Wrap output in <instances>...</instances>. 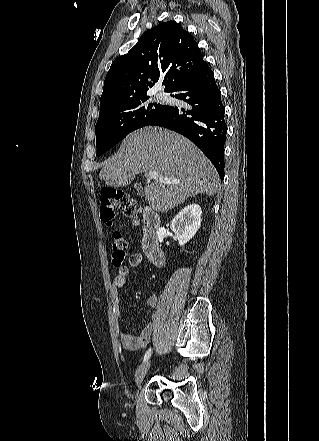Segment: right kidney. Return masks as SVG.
I'll use <instances>...</instances> for the list:
<instances>
[{
    "label": "right kidney",
    "mask_w": 319,
    "mask_h": 441,
    "mask_svg": "<svg viewBox=\"0 0 319 441\" xmlns=\"http://www.w3.org/2000/svg\"><path fill=\"white\" fill-rule=\"evenodd\" d=\"M201 207L192 203L185 206L172 220L171 230L178 239L179 245L184 246L190 241L201 225Z\"/></svg>",
    "instance_id": "1"
}]
</instances>
